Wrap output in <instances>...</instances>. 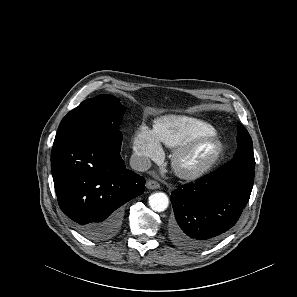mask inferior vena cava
<instances>
[{
  "label": "inferior vena cava",
  "mask_w": 297,
  "mask_h": 297,
  "mask_svg": "<svg viewBox=\"0 0 297 297\" xmlns=\"http://www.w3.org/2000/svg\"><path fill=\"white\" fill-rule=\"evenodd\" d=\"M130 166L133 170L144 172L151 167V161L148 157L133 154L130 158Z\"/></svg>",
  "instance_id": "602c4592"
}]
</instances>
